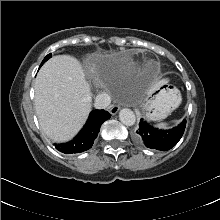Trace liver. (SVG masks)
I'll list each match as a JSON object with an SVG mask.
<instances>
[{"mask_svg":"<svg viewBox=\"0 0 220 220\" xmlns=\"http://www.w3.org/2000/svg\"><path fill=\"white\" fill-rule=\"evenodd\" d=\"M34 89L44 133L55 142L72 139L91 111V89L80 62L69 55L52 57L38 72Z\"/></svg>","mask_w":220,"mask_h":220,"instance_id":"1","label":"liver"}]
</instances>
